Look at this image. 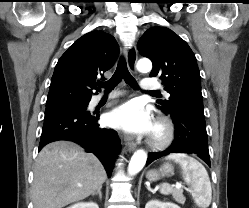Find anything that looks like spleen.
<instances>
[{
    "mask_svg": "<svg viewBox=\"0 0 249 208\" xmlns=\"http://www.w3.org/2000/svg\"><path fill=\"white\" fill-rule=\"evenodd\" d=\"M181 166L183 179L193 189L192 197L194 202L201 208H207L212 199V188L208 173L205 167L193 157L184 153H173L166 157ZM162 194H169L172 188L162 184L160 187Z\"/></svg>",
    "mask_w": 249,
    "mask_h": 208,
    "instance_id": "spleen-1",
    "label": "spleen"
}]
</instances>
